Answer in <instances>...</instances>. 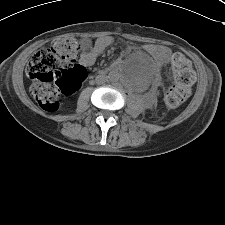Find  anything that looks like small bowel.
Here are the masks:
<instances>
[{
	"label": "small bowel",
	"instance_id": "small-bowel-1",
	"mask_svg": "<svg viewBox=\"0 0 225 225\" xmlns=\"http://www.w3.org/2000/svg\"><path fill=\"white\" fill-rule=\"evenodd\" d=\"M113 43V38L110 36H100L96 39L93 47L85 51L81 55V63L85 66H91L95 63L97 57L111 44ZM147 51L153 56L155 69L166 63L170 56V50L165 46H149ZM134 52L127 50L124 54L125 57L133 55Z\"/></svg>",
	"mask_w": 225,
	"mask_h": 225
}]
</instances>
